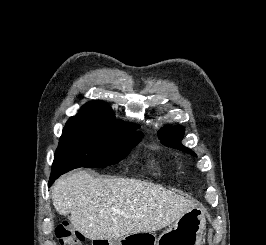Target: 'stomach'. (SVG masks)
<instances>
[{
	"mask_svg": "<svg viewBox=\"0 0 266 245\" xmlns=\"http://www.w3.org/2000/svg\"><path fill=\"white\" fill-rule=\"evenodd\" d=\"M206 219L203 211L193 207L177 219L156 239L154 233H132L108 241V245H202Z\"/></svg>",
	"mask_w": 266,
	"mask_h": 245,
	"instance_id": "1",
	"label": "stomach"
}]
</instances>
